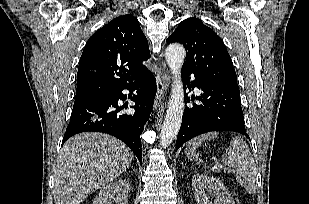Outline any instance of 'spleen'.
Masks as SVG:
<instances>
[{
	"label": "spleen",
	"mask_w": 309,
	"mask_h": 204,
	"mask_svg": "<svg viewBox=\"0 0 309 204\" xmlns=\"http://www.w3.org/2000/svg\"><path fill=\"white\" fill-rule=\"evenodd\" d=\"M218 137L217 132H209L200 135L186 145L185 153L188 158H195L200 164L201 160L195 154V150L203 141ZM222 162L228 166L233 167L236 171L237 182L249 193H255L257 188V169L253 155L246 144V142L239 138L233 137L226 152L222 155Z\"/></svg>",
	"instance_id": "obj_1"
}]
</instances>
